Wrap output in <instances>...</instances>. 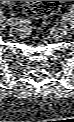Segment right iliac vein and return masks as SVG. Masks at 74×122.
<instances>
[{
  "mask_svg": "<svg viewBox=\"0 0 74 122\" xmlns=\"http://www.w3.org/2000/svg\"><path fill=\"white\" fill-rule=\"evenodd\" d=\"M15 27H16V26H15V25H13L12 29H13V30H15V29H16Z\"/></svg>",
  "mask_w": 74,
  "mask_h": 122,
  "instance_id": "1",
  "label": "right iliac vein"
}]
</instances>
